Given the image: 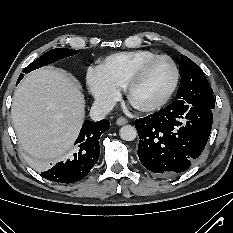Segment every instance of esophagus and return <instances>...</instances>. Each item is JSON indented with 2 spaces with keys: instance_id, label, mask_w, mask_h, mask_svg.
<instances>
[{
  "instance_id": "1",
  "label": "esophagus",
  "mask_w": 233,
  "mask_h": 233,
  "mask_svg": "<svg viewBox=\"0 0 233 233\" xmlns=\"http://www.w3.org/2000/svg\"><path fill=\"white\" fill-rule=\"evenodd\" d=\"M128 121L126 118H123V117H120L116 120V124L119 125V126H122L124 124H126Z\"/></svg>"
}]
</instances>
